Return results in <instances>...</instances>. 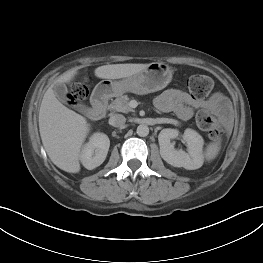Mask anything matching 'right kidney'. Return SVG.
I'll return each mask as SVG.
<instances>
[{"instance_id":"right-kidney-1","label":"right kidney","mask_w":263,"mask_h":263,"mask_svg":"<svg viewBox=\"0 0 263 263\" xmlns=\"http://www.w3.org/2000/svg\"><path fill=\"white\" fill-rule=\"evenodd\" d=\"M109 146L110 140L106 134H93L80 154V160L83 166L88 170L100 166L107 156Z\"/></svg>"}]
</instances>
